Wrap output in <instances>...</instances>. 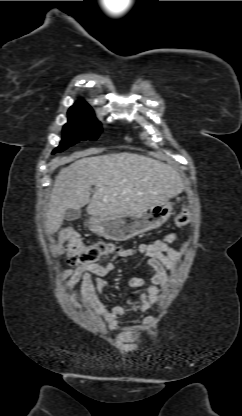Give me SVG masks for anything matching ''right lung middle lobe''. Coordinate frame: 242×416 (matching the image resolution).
<instances>
[{
    "label": "right lung middle lobe",
    "mask_w": 242,
    "mask_h": 416,
    "mask_svg": "<svg viewBox=\"0 0 242 416\" xmlns=\"http://www.w3.org/2000/svg\"><path fill=\"white\" fill-rule=\"evenodd\" d=\"M101 131L100 123L88 104L72 106L68 111V123L63 127L60 145L53 153L61 152L80 140H95Z\"/></svg>",
    "instance_id": "dd1d6c3e"
}]
</instances>
